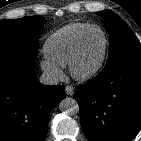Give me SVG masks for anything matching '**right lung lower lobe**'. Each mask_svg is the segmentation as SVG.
Instances as JSON below:
<instances>
[{"instance_id":"98d812e1","label":"right lung lower lobe","mask_w":141,"mask_h":141,"mask_svg":"<svg viewBox=\"0 0 141 141\" xmlns=\"http://www.w3.org/2000/svg\"><path fill=\"white\" fill-rule=\"evenodd\" d=\"M32 55L0 54V141H44L50 111L65 97L64 86L39 83Z\"/></svg>"}]
</instances>
